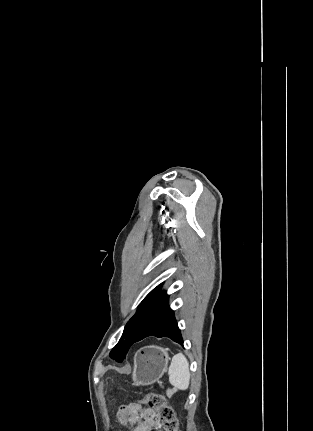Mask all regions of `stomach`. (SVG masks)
I'll list each match as a JSON object with an SVG mask.
<instances>
[{
    "instance_id": "0dacf381",
    "label": "stomach",
    "mask_w": 313,
    "mask_h": 431,
    "mask_svg": "<svg viewBox=\"0 0 313 431\" xmlns=\"http://www.w3.org/2000/svg\"><path fill=\"white\" fill-rule=\"evenodd\" d=\"M169 356L166 349L147 346L137 351L132 374L137 386L151 385L159 380L167 369Z\"/></svg>"
}]
</instances>
